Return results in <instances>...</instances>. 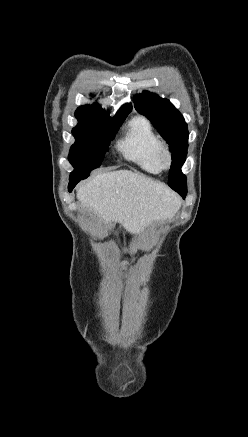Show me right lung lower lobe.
<instances>
[{
    "label": "right lung lower lobe",
    "mask_w": 248,
    "mask_h": 437,
    "mask_svg": "<svg viewBox=\"0 0 248 437\" xmlns=\"http://www.w3.org/2000/svg\"><path fill=\"white\" fill-rule=\"evenodd\" d=\"M80 181V179H70V183H69V192L72 191V189L75 187V185Z\"/></svg>",
    "instance_id": "obj_1"
}]
</instances>
